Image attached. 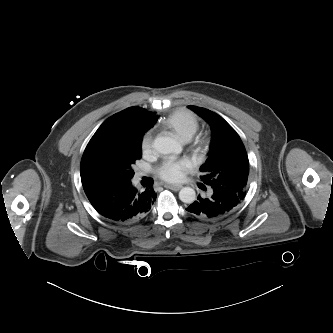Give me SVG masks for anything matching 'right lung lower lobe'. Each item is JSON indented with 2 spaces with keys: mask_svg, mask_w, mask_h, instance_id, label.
<instances>
[{
  "mask_svg": "<svg viewBox=\"0 0 333 333\" xmlns=\"http://www.w3.org/2000/svg\"><path fill=\"white\" fill-rule=\"evenodd\" d=\"M83 188L97 212L117 224H131L143 218L156 199L151 187L139 192L131 181H100L84 184Z\"/></svg>",
  "mask_w": 333,
  "mask_h": 333,
  "instance_id": "right-lung-lower-lobe-1",
  "label": "right lung lower lobe"
}]
</instances>
